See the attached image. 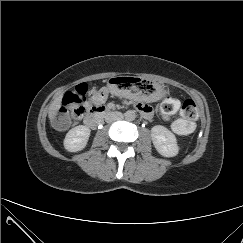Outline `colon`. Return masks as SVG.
<instances>
[{
  "instance_id": "5ec220e1",
  "label": "colon",
  "mask_w": 243,
  "mask_h": 243,
  "mask_svg": "<svg viewBox=\"0 0 243 243\" xmlns=\"http://www.w3.org/2000/svg\"><path fill=\"white\" fill-rule=\"evenodd\" d=\"M93 93L86 84H79L68 91L63 99L58 112L53 119V125L60 130L66 129L71 118H80L86 111V101L92 98ZM180 109V117L172 122V129L175 133L186 135L193 131L194 120L197 116V107L193 100H185L182 105L174 98H167L162 106L161 112L165 118H169Z\"/></svg>"
}]
</instances>
